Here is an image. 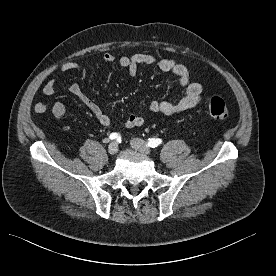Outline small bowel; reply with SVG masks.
I'll return each mask as SVG.
<instances>
[{
	"label": "small bowel",
	"instance_id": "c3829d8e",
	"mask_svg": "<svg viewBox=\"0 0 276 276\" xmlns=\"http://www.w3.org/2000/svg\"><path fill=\"white\" fill-rule=\"evenodd\" d=\"M116 57L109 52L104 53L103 61L107 64L115 62ZM119 65L128 71L131 77H135L140 65L155 66L163 72H170L178 77L179 85L185 90L182 98L175 102L170 101H153L149 104L148 109L151 113L171 116L184 110L190 109L198 104L201 100L202 86L198 82H191V74L188 68L171 59H158L154 55L138 53L132 56H122L119 58ZM62 71H77L80 79L84 80L87 77L86 67L75 62H66L61 66ZM43 93L52 95L55 92V79H49L43 86ZM69 92L75 96L83 105H85L95 116L98 122L104 126L111 123V118L102 108L92 100L77 83L69 86ZM34 110L38 113H43L47 110V105L42 102L34 104ZM53 116L61 120L66 115V107L61 102H56L51 108ZM144 119L138 114H130L126 121L127 128H135L143 125Z\"/></svg>",
	"mask_w": 276,
	"mask_h": 276
}]
</instances>
